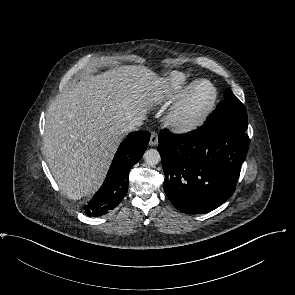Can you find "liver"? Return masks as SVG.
<instances>
[{
  "mask_svg": "<svg viewBox=\"0 0 295 295\" xmlns=\"http://www.w3.org/2000/svg\"><path fill=\"white\" fill-rule=\"evenodd\" d=\"M142 65H117L67 87L46 113L43 152L62 192L79 200L103 183L124 127L145 119L161 91Z\"/></svg>",
  "mask_w": 295,
  "mask_h": 295,
  "instance_id": "1",
  "label": "liver"
}]
</instances>
